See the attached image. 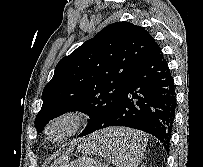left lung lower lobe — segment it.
<instances>
[{
	"instance_id": "obj_1",
	"label": "left lung lower lobe",
	"mask_w": 203,
	"mask_h": 167,
	"mask_svg": "<svg viewBox=\"0 0 203 167\" xmlns=\"http://www.w3.org/2000/svg\"><path fill=\"white\" fill-rule=\"evenodd\" d=\"M176 109L174 79L158 44L134 68L112 116L97 130L125 126L150 133L169 150ZM118 139L100 146L121 148Z\"/></svg>"
}]
</instances>
